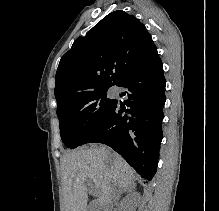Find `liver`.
I'll return each mask as SVG.
<instances>
[{
	"label": "liver",
	"instance_id": "1",
	"mask_svg": "<svg viewBox=\"0 0 219 211\" xmlns=\"http://www.w3.org/2000/svg\"><path fill=\"white\" fill-rule=\"evenodd\" d=\"M61 167L66 211H88V177L98 187V199L90 203L96 211H108L115 201L113 193L135 187L137 179L135 169L106 145L73 149L63 155Z\"/></svg>",
	"mask_w": 219,
	"mask_h": 211
}]
</instances>
